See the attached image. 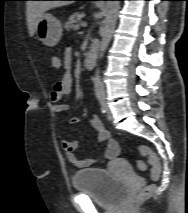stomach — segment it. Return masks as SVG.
Here are the masks:
<instances>
[{
    "label": "stomach",
    "mask_w": 188,
    "mask_h": 213,
    "mask_svg": "<svg viewBox=\"0 0 188 213\" xmlns=\"http://www.w3.org/2000/svg\"><path fill=\"white\" fill-rule=\"evenodd\" d=\"M61 22L49 13H44L38 20L35 33L37 38L47 46H55L62 37Z\"/></svg>",
    "instance_id": "obj_1"
}]
</instances>
